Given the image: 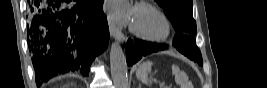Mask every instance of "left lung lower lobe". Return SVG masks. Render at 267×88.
Wrapping results in <instances>:
<instances>
[{
    "label": "left lung lower lobe",
    "mask_w": 267,
    "mask_h": 88,
    "mask_svg": "<svg viewBox=\"0 0 267 88\" xmlns=\"http://www.w3.org/2000/svg\"><path fill=\"white\" fill-rule=\"evenodd\" d=\"M173 46L182 54L202 64V55L195 40L192 38L178 34L173 40ZM166 48L163 44L145 42L142 40L129 39L126 43V61L129 66L136 63L143 55L150 54Z\"/></svg>",
    "instance_id": "obj_1"
}]
</instances>
